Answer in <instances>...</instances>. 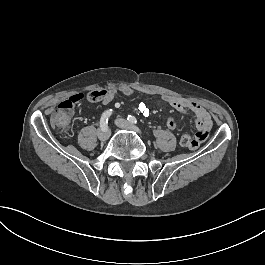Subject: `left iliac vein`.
Wrapping results in <instances>:
<instances>
[{
    "instance_id": "obj_1",
    "label": "left iliac vein",
    "mask_w": 265,
    "mask_h": 265,
    "mask_svg": "<svg viewBox=\"0 0 265 265\" xmlns=\"http://www.w3.org/2000/svg\"><path fill=\"white\" fill-rule=\"evenodd\" d=\"M116 125L122 129L131 130L138 134H141V131L136 126L132 125L130 122H128L125 119L118 118L116 119Z\"/></svg>"
}]
</instances>
